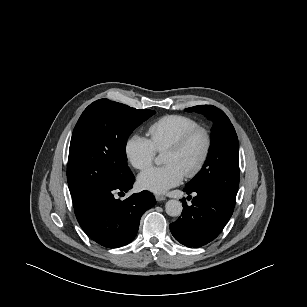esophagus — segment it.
<instances>
[{
    "mask_svg": "<svg viewBox=\"0 0 307 307\" xmlns=\"http://www.w3.org/2000/svg\"><path fill=\"white\" fill-rule=\"evenodd\" d=\"M155 198L158 202L166 200V197L160 194H155Z\"/></svg>",
    "mask_w": 307,
    "mask_h": 307,
    "instance_id": "34e87169",
    "label": "esophagus"
}]
</instances>
